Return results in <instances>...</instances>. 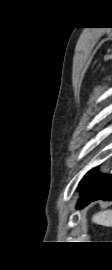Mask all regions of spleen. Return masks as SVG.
<instances>
[{"mask_svg":"<svg viewBox=\"0 0 112 270\" xmlns=\"http://www.w3.org/2000/svg\"><path fill=\"white\" fill-rule=\"evenodd\" d=\"M92 222L99 225L112 227V210L96 213L92 217Z\"/></svg>","mask_w":112,"mask_h":270,"instance_id":"3e777b00","label":"spleen"}]
</instances>
